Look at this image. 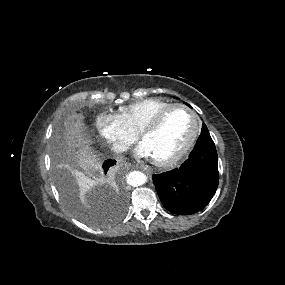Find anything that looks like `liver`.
Segmentation results:
<instances>
[{
  "label": "liver",
  "mask_w": 285,
  "mask_h": 285,
  "mask_svg": "<svg viewBox=\"0 0 285 285\" xmlns=\"http://www.w3.org/2000/svg\"><path fill=\"white\" fill-rule=\"evenodd\" d=\"M66 139L68 141L69 150L77 148V165L84 173L93 175L95 172L101 170V158L94 154V151H92V148L90 147L91 140L84 136L82 122L76 121L66 125ZM76 176L83 186L90 183L82 172H76Z\"/></svg>",
  "instance_id": "liver-1"
}]
</instances>
